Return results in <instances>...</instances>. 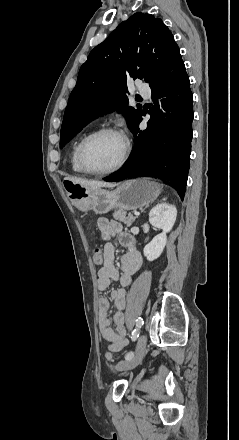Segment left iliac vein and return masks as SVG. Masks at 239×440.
Returning <instances> with one entry per match:
<instances>
[{
	"label": "left iliac vein",
	"instance_id": "4c4485c4",
	"mask_svg": "<svg viewBox=\"0 0 239 440\" xmlns=\"http://www.w3.org/2000/svg\"><path fill=\"white\" fill-rule=\"evenodd\" d=\"M146 348V337L141 335L136 344L135 354L130 360L120 361L116 365V370L123 371L135 368L142 360Z\"/></svg>",
	"mask_w": 239,
	"mask_h": 440
}]
</instances>
